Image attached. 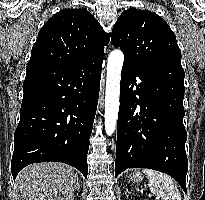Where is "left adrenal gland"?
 <instances>
[{
  "instance_id": "left-adrenal-gland-1",
  "label": "left adrenal gland",
  "mask_w": 205,
  "mask_h": 200,
  "mask_svg": "<svg viewBox=\"0 0 205 200\" xmlns=\"http://www.w3.org/2000/svg\"><path fill=\"white\" fill-rule=\"evenodd\" d=\"M130 193H131V192H130L128 189H126L125 194H126L127 197L130 195Z\"/></svg>"
}]
</instances>
